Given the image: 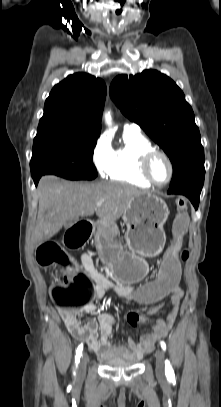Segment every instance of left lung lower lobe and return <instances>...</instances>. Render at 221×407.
Instances as JSON below:
<instances>
[{
	"mask_svg": "<svg viewBox=\"0 0 221 407\" xmlns=\"http://www.w3.org/2000/svg\"><path fill=\"white\" fill-rule=\"evenodd\" d=\"M204 166L192 170L180 180L170 185L168 194H181L190 199L195 209L198 208L200 193L204 183Z\"/></svg>",
	"mask_w": 221,
	"mask_h": 407,
	"instance_id": "0a47b994",
	"label": "left lung lower lobe"
}]
</instances>
